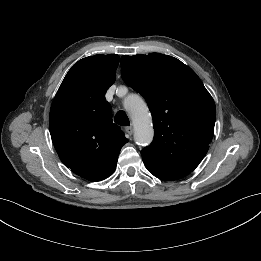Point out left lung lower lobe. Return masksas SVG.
I'll return each instance as SVG.
<instances>
[{"label":"left lung lower lobe","mask_w":261,"mask_h":261,"mask_svg":"<svg viewBox=\"0 0 261 261\" xmlns=\"http://www.w3.org/2000/svg\"><path fill=\"white\" fill-rule=\"evenodd\" d=\"M143 162L151 174H153L154 176L162 180H168V181L176 180L185 177L190 173L189 171L164 168L155 164L151 160L144 159V158H143Z\"/></svg>","instance_id":"1"}]
</instances>
